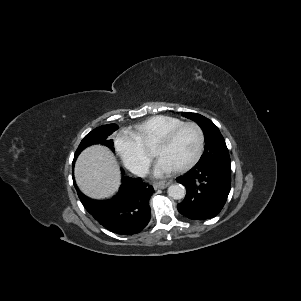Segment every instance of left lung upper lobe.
I'll use <instances>...</instances> for the list:
<instances>
[{
	"label": "left lung upper lobe",
	"mask_w": 301,
	"mask_h": 301,
	"mask_svg": "<svg viewBox=\"0 0 301 301\" xmlns=\"http://www.w3.org/2000/svg\"><path fill=\"white\" fill-rule=\"evenodd\" d=\"M182 115L197 122L204 132L205 150L197 164L220 162L231 165L225 140L218 127L211 120L200 114L182 112Z\"/></svg>",
	"instance_id": "left-lung-upper-lobe-1"
}]
</instances>
